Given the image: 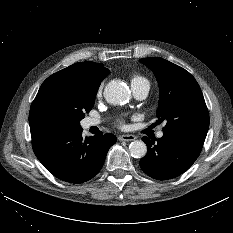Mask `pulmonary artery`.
Instances as JSON below:
<instances>
[{"label":"pulmonary artery","instance_id":"1","mask_svg":"<svg viewBox=\"0 0 233 233\" xmlns=\"http://www.w3.org/2000/svg\"><path fill=\"white\" fill-rule=\"evenodd\" d=\"M131 88H132L133 94L135 95L137 99H144L149 92L150 85H149V82L143 81V82L131 84ZM99 123L100 121L96 119L90 118L87 120L88 126H95V125H98ZM162 136H163V132H159L158 137L161 138Z\"/></svg>","mask_w":233,"mask_h":233}]
</instances>
